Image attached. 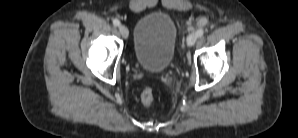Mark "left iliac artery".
<instances>
[{
    "mask_svg": "<svg viewBox=\"0 0 298 138\" xmlns=\"http://www.w3.org/2000/svg\"><path fill=\"white\" fill-rule=\"evenodd\" d=\"M196 33H197V36H198V37H201V36H203V34H204V29L201 28V29L197 30Z\"/></svg>",
    "mask_w": 298,
    "mask_h": 138,
    "instance_id": "44dca946",
    "label": "left iliac artery"
}]
</instances>
